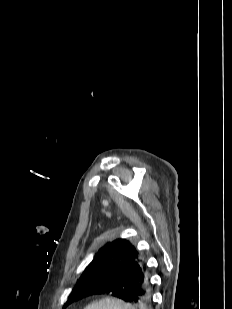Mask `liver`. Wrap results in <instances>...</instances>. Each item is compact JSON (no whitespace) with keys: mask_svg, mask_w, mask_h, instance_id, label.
I'll return each mask as SVG.
<instances>
[{"mask_svg":"<svg viewBox=\"0 0 232 309\" xmlns=\"http://www.w3.org/2000/svg\"><path fill=\"white\" fill-rule=\"evenodd\" d=\"M84 309H136L135 306L127 304L116 298H105L97 302H93Z\"/></svg>","mask_w":232,"mask_h":309,"instance_id":"1","label":"liver"}]
</instances>
